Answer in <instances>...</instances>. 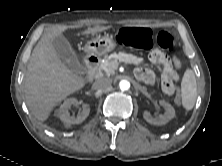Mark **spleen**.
Wrapping results in <instances>:
<instances>
[{
	"label": "spleen",
	"mask_w": 222,
	"mask_h": 166,
	"mask_svg": "<svg viewBox=\"0 0 222 166\" xmlns=\"http://www.w3.org/2000/svg\"><path fill=\"white\" fill-rule=\"evenodd\" d=\"M182 105L186 110H191L197 98V83L195 74L191 69H187L181 82Z\"/></svg>",
	"instance_id": "3e777b00"
}]
</instances>
